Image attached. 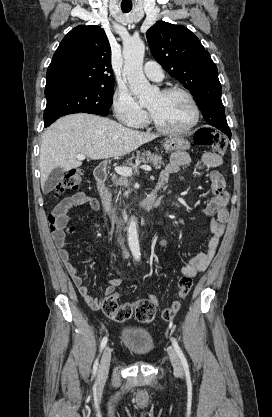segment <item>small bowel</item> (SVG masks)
I'll return each instance as SVG.
<instances>
[{"label":"small bowel","mask_w":272,"mask_h":417,"mask_svg":"<svg viewBox=\"0 0 272 417\" xmlns=\"http://www.w3.org/2000/svg\"><path fill=\"white\" fill-rule=\"evenodd\" d=\"M189 163L190 157L187 153H174L169 163L161 171L159 181L165 184L171 175L178 173L182 167L188 165ZM222 165L223 159L218 154L211 152L202 154L198 160V166L200 169H211L208 173L211 199L202 209V213L210 219L209 228L211 236L207 242V250L192 256L181 268V273L189 277H196L207 269L216 254L225 232V225L229 217L227 210L229 196L225 191L226 181L224 173L217 169ZM82 206H88L94 211H98L100 209L98 200L93 196L85 194L84 192L74 193L64 198L56 206L54 215L56 216L58 229L55 231L53 238L59 248V257L74 285L78 289V292L93 310L98 311L102 308L104 298L95 297L90 294L89 288L84 283L78 267L70 261V253L65 241V234L63 232V226L68 222L71 212ZM121 283L122 279L120 277L108 280L105 283V297L112 295Z\"/></svg>","instance_id":"c3829d8e"}]
</instances>
